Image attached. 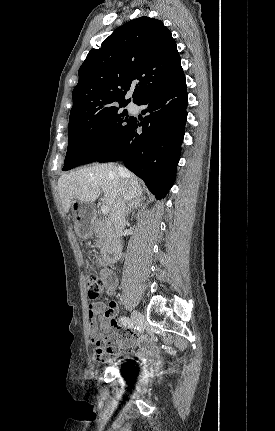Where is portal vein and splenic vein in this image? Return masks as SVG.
I'll use <instances>...</instances> for the list:
<instances>
[{
    "mask_svg": "<svg viewBox=\"0 0 275 431\" xmlns=\"http://www.w3.org/2000/svg\"><path fill=\"white\" fill-rule=\"evenodd\" d=\"M101 212L103 214H108L109 213V206L108 205L101 206Z\"/></svg>",
    "mask_w": 275,
    "mask_h": 431,
    "instance_id": "portal-vein-and-splenic-vein-1",
    "label": "portal vein and splenic vein"
}]
</instances>
